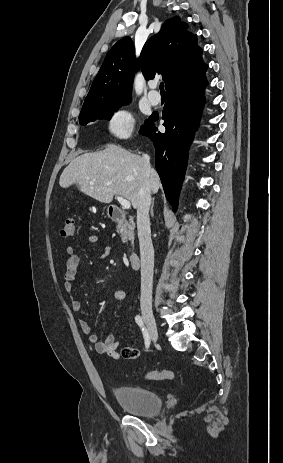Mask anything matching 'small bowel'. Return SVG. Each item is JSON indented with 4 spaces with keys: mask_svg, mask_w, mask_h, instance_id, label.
I'll return each instance as SVG.
<instances>
[{
    "mask_svg": "<svg viewBox=\"0 0 283 463\" xmlns=\"http://www.w3.org/2000/svg\"><path fill=\"white\" fill-rule=\"evenodd\" d=\"M88 240L92 244H98L99 238L95 234H90ZM111 253L109 247H105L99 258L101 260L106 259ZM79 265V256L75 251L74 246L68 245L66 247V272H65V282L64 290L66 294L70 297V305L74 312H78L81 309V302L74 297V286L73 282ZM113 298L117 301H123L126 299V292L123 290H114ZM79 325L81 330L87 335L88 341L92 344L98 354H106L113 358L114 360H119L120 358H125L128 360H135L139 356V351L131 346L124 347L121 351H118L120 341L118 334H109L103 340H99L98 336L91 332L89 324L84 320H79Z\"/></svg>",
    "mask_w": 283,
    "mask_h": 463,
    "instance_id": "1",
    "label": "small bowel"
}]
</instances>
